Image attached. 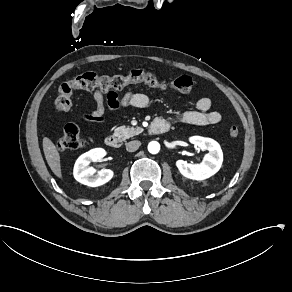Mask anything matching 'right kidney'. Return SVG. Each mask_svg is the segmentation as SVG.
Wrapping results in <instances>:
<instances>
[{
  "mask_svg": "<svg viewBox=\"0 0 292 292\" xmlns=\"http://www.w3.org/2000/svg\"><path fill=\"white\" fill-rule=\"evenodd\" d=\"M104 156L105 151L99 148L92 149L81 155L74 166V178L79 183L89 187H98L109 182L114 176L113 170L103 169L99 175H94L95 169L90 166L91 163L102 161Z\"/></svg>",
  "mask_w": 292,
  "mask_h": 292,
  "instance_id": "right-kidney-1",
  "label": "right kidney"
}]
</instances>
